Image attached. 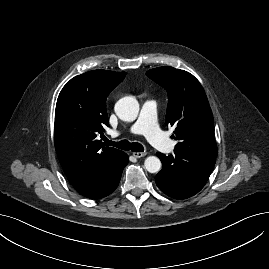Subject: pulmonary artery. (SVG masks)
<instances>
[{
    "label": "pulmonary artery",
    "mask_w": 269,
    "mask_h": 269,
    "mask_svg": "<svg viewBox=\"0 0 269 269\" xmlns=\"http://www.w3.org/2000/svg\"><path fill=\"white\" fill-rule=\"evenodd\" d=\"M156 118V103L154 101H145L137 120L130 125L128 132L143 135L151 145L163 152H172L175 148V143L159 129ZM117 134H120V132Z\"/></svg>",
    "instance_id": "1"
}]
</instances>
